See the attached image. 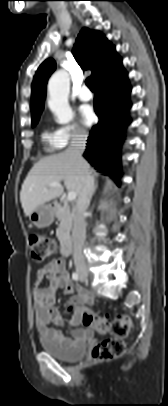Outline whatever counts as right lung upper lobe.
<instances>
[{
    "label": "right lung upper lobe",
    "instance_id": "1",
    "mask_svg": "<svg viewBox=\"0 0 168 406\" xmlns=\"http://www.w3.org/2000/svg\"><path fill=\"white\" fill-rule=\"evenodd\" d=\"M73 54L82 69L92 70L91 77L96 84L121 67V58L115 47L98 31L83 28L73 48ZM52 58L45 60L38 68L32 83V122L38 121L44 107L46 83L55 70Z\"/></svg>",
    "mask_w": 168,
    "mask_h": 406
}]
</instances>
